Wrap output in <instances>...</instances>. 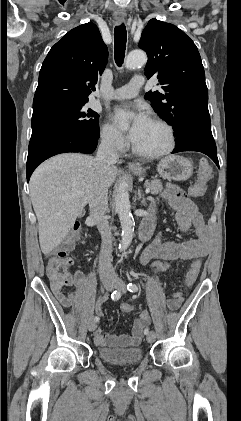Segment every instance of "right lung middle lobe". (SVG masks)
Wrapping results in <instances>:
<instances>
[{"label": "right lung middle lobe", "instance_id": "right-lung-middle-lobe-1", "mask_svg": "<svg viewBox=\"0 0 241 421\" xmlns=\"http://www.w3.org/2000/svg\"><path fill=\"white\" fill-rule=\"evenodd\" d=\"M86 102H52L33 107L32 135L50 129H65L99 138V115L84 107Z\"/></svg>", "mask_w": 241, "mask_h": 421}]
</instances>
